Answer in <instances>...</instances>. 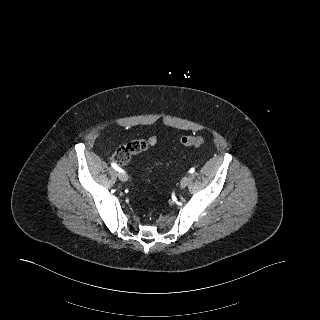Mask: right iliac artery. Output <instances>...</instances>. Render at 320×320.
<instances>
[{
  "label": "right iliac artery",
  "instance_id": "82829eb1",
  "mask_svg": "<svg viewBox=\"0 0 320 320\" xmlns=\"http://www.w3.org/2000/svg\"><path fill=\"white\" fill-rule=\"evenodd\" d=\"M111 166L118 172H124L123 169H121L116 163L112 162Z\"/></svg>",
  "mask_w": 320,
  "mask_h": 320
}]
</instances>
